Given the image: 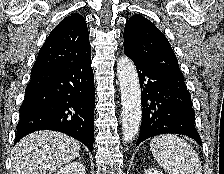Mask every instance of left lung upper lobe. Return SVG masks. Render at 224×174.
<instances>
[{
	"label": "left lung upper lobe",
	"instance_id": "obj_1",
	"mask_svg": "<svg viewBox=\"0 0 224 174\" xmlns=\"http://www.w3.org/2000/svg\"><path fill=\"white\" fill-rule=\"evenodd\" d=\"M124 52L131 58L146 62H164L179 68L167 38L147 18L133 15L124 29Z\"/></svg>",
	"mask_w": 224,
	"mask_h": 174
}]
</instances>
